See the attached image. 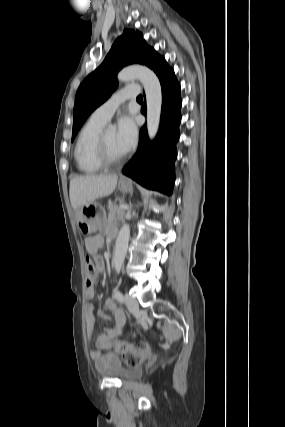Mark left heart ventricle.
Returning <instances> with one entry per match:
<instances>
[{
    "mask_svg": "<svg viewBox=\"0 0 285 427\" xmlns=\"http://www.w3.org/2000/svg\"><path fill=\"white\" fill-rule=\"evenodd\" d=\"M105 140L109 153L112 157H120L126 154L117 143L115 130H106Z\"/></svg>",
    "mask_w": 285,
    "mask_h": 427,
    "instance_id": "obj_1",
    "label": "left heart ventricle"
}]
</instances>
